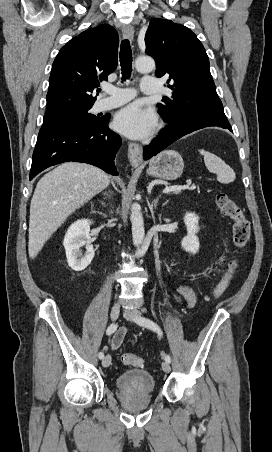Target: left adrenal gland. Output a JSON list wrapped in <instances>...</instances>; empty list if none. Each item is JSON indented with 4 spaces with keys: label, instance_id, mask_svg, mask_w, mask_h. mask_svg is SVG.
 <instances>
[{
    "label": "left adrenal gland",
    "instance_id": "obj_1",
    "mask_svg": "<svg viewBox=\"0 0 272 452\" xmlns=\"http://www.w3.org/2000/svg\"><path fill=\"white\" fill-rule=\"evenodd\" d=\"M159 199H160V195L153 200L151 207H154L156 209Z\"/></svg>",
    "mask_w": 272,
    "mask_h": 452
}]
</instances>
